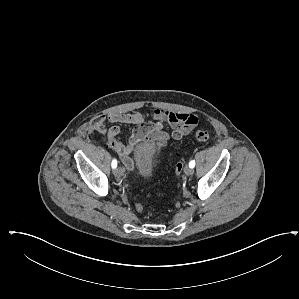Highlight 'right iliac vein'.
I'll list each match as a JSON object with an SVG mask.
<instances>
[{"instance_id":"1","label":"right iliac vein","mask_w":299,"mask_h":299,"mask_svg":"<svg viewBox=\"0 0 299 299\" xmlns=\"http://www.w3.org/2000/svg\"><path fill=\"white\" fill-rule=\"evenodd\" d=\"M114 175L117 177V178H121L123 175H124V170L122 167H118L114 170Z\"/></svg>"}]
</instances>
